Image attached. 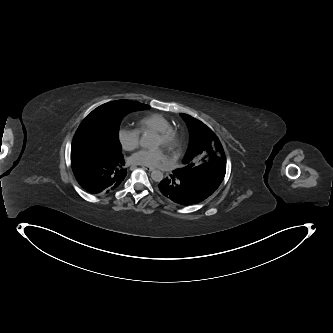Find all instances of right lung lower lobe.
I'll list each match as a JSON object with an SVG mask.
<instances>
[{
    "instance_id": "right-lung-lower-lobe-1",
    "label": "right lung lower lobe",
    "mask_w": 333,
    "mask_h": 333,
    "mask_svg": "<svg viewBox=\"0 0 333 333\" xmlns=\"http://www.w3.org/2000/svg\"><path fill=\"white\" fill-rule=\"evenodd\" d=\"M123 156L111 158L89 146L71 147V166L76 180L87 192L103 195L119 188L127 175Z\"/></svg>"
}]
</instances>
